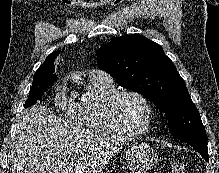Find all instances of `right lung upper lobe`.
I'll use <instances>...</instances> for the list:
<instances>
[{
	"label": "right lung upper lobe",
	"instance_id": "cb5924a9",
	"mask_svg": "<svg viewBox=\"0 0 219 173\" xmlns=\"http://www.w3.org/2000/svg\"><path fill=\"white\" fill-rule=\"evenodd\" d=\"M57 55H58L57 51H54L53 53H51L45 59L44 63L39 67V69L36 72H49V73H53L54 74V72H55L54 60L57 57Z\"/></svg>",
	"mask_w": 219,
	"mask_h": 173
}]
</instances>
